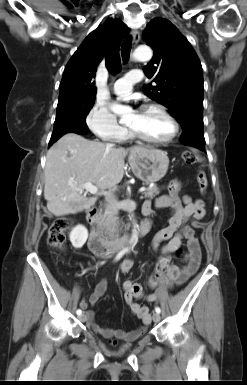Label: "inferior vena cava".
Returning <instances> with one entry per match:
<instances>
[{
	"mask_svg": "<svg viewBox=\"0 0 247 385\" xmlns=\"http://www.w3.org/2000/svg\"><path fill=\"white\" fill-rule=\"evenodd\" d=\"M107 146H111V144H107ZM106 201H107V209L109 211V214H110L112 220L115 221L116 215L118 214V210H119L118 204L111 197H107Z\"/></svg>",
	"mask_w": 247,
	"mask_h": 385,
	"instance_id": "inferior-vena-cava-1",
	"label": "inferior vena cava"
}]
</instances>
